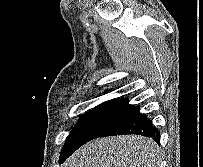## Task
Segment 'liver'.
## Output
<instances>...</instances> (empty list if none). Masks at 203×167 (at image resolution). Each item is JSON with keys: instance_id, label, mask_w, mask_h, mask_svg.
Wrapping results in <instances>:
<instances>
[{"instance_id": "1", "label": "liver", "mask_w": 203, "mask_h": 167, "mask_svg": "<svg viewBox=\"0 0 203 167\" xmlns=\"http://www.w3.org/2000/svg\"><path fill=\"white\" fill-rule=\"evenodd\" d=\"M159 147L137 135L95 139L76 152L63 167H159Z\"/></svg>"}]
</instances>
